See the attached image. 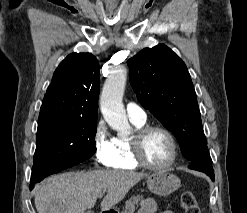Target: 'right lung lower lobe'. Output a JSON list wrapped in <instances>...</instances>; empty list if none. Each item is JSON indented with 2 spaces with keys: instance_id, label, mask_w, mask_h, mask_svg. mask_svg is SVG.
Segmentation results:
<instances>
[{
  "instance_id": "98d812e1",
  "label": "right lung lower lobe",
  "mask_w": 247,
  "mask_h": 213,
  "mask_svg": "<svg viewBox=\"0 0 247 213\" xmlns=\"http://www.w3.org/2000/svg\"><path fill=\"white\" fill-rule=\"evenodd\" d=\"M31 184L29 186L30 190H32L34 188V185L38 182V181H30Z\"/></svg>"
}]
</instances>
